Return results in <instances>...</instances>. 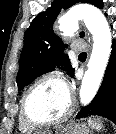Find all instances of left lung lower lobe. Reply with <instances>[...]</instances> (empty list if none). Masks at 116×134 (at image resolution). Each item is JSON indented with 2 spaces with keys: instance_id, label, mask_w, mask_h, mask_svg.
Returning a JSON list of instances; mask_svg holds the SVG:
<instances>
[{
  "instance_id": "left-lung-lower-lobe-1",
  "label": "left lung lower lobe",
  "mask_w": 116,
  "mask_h": 134,
  "mask_svg": "<svg viewBox=\"0 0 116 134\" xmlns=\"http://www.w3.org/2000/svg\"><path fill=\"white\" fill-rule=\"evenodd\" d=\"M93 115L104 116L116 124V41H113L112 52L106 72L94 99L82 107L76 118Z\"/></svg>"
}]
</instances>
